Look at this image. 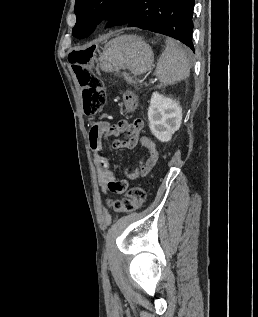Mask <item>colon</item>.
I'll return each instance as SVG.
<instances>
[{
	"mask_svg": "<svg viewBox=\"0 0 258 317\" xmlns=\"http://www.w3.org/2000/svg\"><path fill=\"white\" fill-rule=\"evenodd\" d=\"M95 51L93 47L76 48L68 56L69 63L82 90L83 109L86 115L96 114L106 102L104 85L89 67ZM122 100L127 113L135 110L136 100L132 92L125 91ZM95 125V123H92V127ZM145 196L142 188L134 187L126 193L124 198L110 201L109 205L118 213H131L143 205Z\"/></svg>",
	"mask_w": 258,
	"mask_h": 317,
	"instance_id": "1",
	"label": "colon"
}]
</instances>
